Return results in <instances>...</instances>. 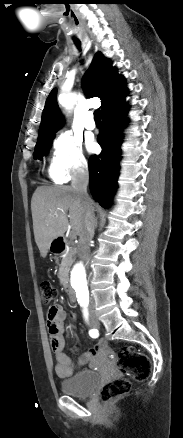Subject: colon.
Masks as SVG:
<instances>
[{
  "mask_svg": "<svg viewBox=\"0 0 183 438\" xmlns=\"http://www.w3.org/2000/svg\"><path fill=\"white\" fill-rule=\"evenodd\" d=\"M43 304L49 305L55 298L56 289L52 283L45 281L40 285ZM118 370L136 381L146 380L151 372L149 358L132 346L123 347L117 358ZM131 389V382L126 378H117L106 383L100 390V398L104 402H112Z\"/></svg>",
  "mask_w": 183,
  "mask_h": 438,
  "instance_id": "5ec220e1",
  "label": "colon"
}]
</instances>
